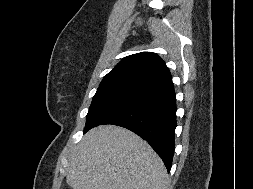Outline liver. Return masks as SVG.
<instances>
[{"label": "liver", "mask_w": 253, "mask_h": 189, "mask_svg": "<svg viewBox=\"0 0 253 189\" xmlns=\"http://www.w3.org/2000/svg\"><path fill=\"white\" fill-rule=\"evenodd\" d=\"M166 177L163 161L145 140L105 125L76 146L66 182L73 189H163Z\"/></svg>", "instance_id": "1"}]
</instances>
